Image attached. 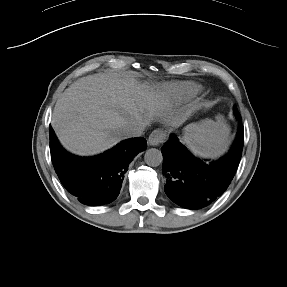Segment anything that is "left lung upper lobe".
Wrapping results in <instances>:
<instances>
[{
    "label": "left lung upper lobe",
    "instance_id": "left-lung-upper-lobe-1",
    "mask_svg": "<svg viewBox=\"0 0 287 287\" xmlns=\"http://www.w3.org/2000/svg\"><path fill=\"white\" fill-rule=\"evenodd\" d=\"M234 113L236 116L240 115L236 107H234Z\"/></svg>",
    "mask_w": 287,
    "mask_h": 287
}]
</instances>
